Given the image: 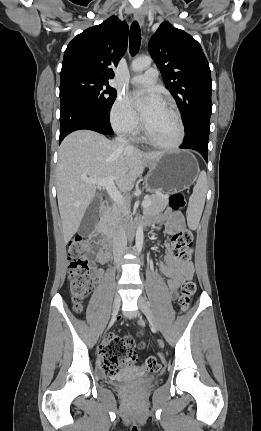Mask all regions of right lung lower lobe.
I'll list each match as a JSON object with an SVG mask.
<instances>
[{
    "label": "right lung lower lobe",
    "mask_w": 261,
    "mask_h": 431,
    "mask_svg": "<svg viewBox=\"0 0 261 431\" xmlns=\"http://www.w3.org/2000/svg\"><path fill=\"white\" fill-rule=\"evenodd\" d=\"M81 129L107 135L113 134L109 112L100 113L81 102L61 98L59 144L69 133Z\"/></svg>",
    "instance_id": "right-lung-lower-lobe-1"
}]
</instances>
